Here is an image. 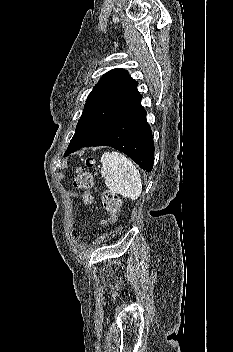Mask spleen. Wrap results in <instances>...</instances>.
<instances>
[{"instance_id":"obj_1","label":"spleen","mask_w":233,"mask_h":352,"mask_svg":"<svg viewBox=\"0 0 233 352\" xmlns=\"http://www.w3.org/2000/svg\"><path fill=\"white\" fill-rule=\"evenodd\" d=\"M101 175L106 187L113 193L136 200L142 193V180L136 166L123 154L113 151L101 157Z\"/></svg>"}]
</instances>
